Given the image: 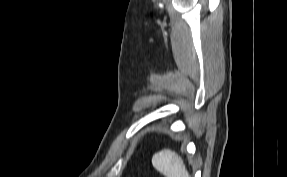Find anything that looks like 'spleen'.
<instances>
[{
  "label": "spleen",
  "mask_w": 287,
  "mask_h": 177,
  "mask_svg": "<svg viewBox=\"0 0 287 177\" xmlns=\"http://www.w3.org/2000/svg\"><path fill=\"white\" fill-rule=\"evenodd\" d=\"M152 164L166 177H190L182 158L169 149L155 153L152 157Z\"/></svg>",
  "instance_id": "3e777b00"
}]
</instances>
